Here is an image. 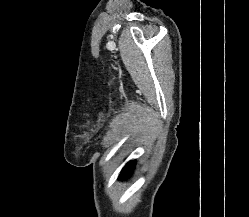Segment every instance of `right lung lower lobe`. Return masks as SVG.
I'll return each instance as SVG.
<instances>
[{"instance_id": "98d812e1", "label": "right lung lower lobe", "mask_w": 249, "mask_h": 217, "mask_svg": "<svg viewBox=\"0 0 249 217\" xmlns=\"http://www.w3.org/2000/svg\"><path fill=\"white\" fill-rule=\"evenodd\" d=\"M134 168V161L129 162L122 170L119 178L120 179H125L126 177H128L130 175V173L132 172V169Z\"/></svg>"}]
</instances>
